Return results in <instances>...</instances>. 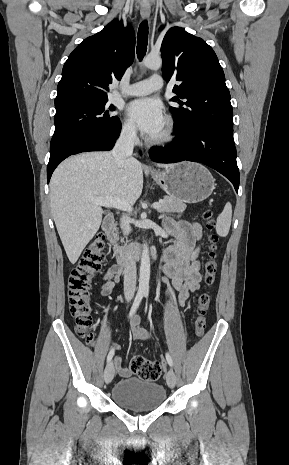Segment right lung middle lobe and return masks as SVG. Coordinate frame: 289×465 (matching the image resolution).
Masks as SVG:
<instances>
[{"label":"right lung middle lobe","instance_id":"right-lung-middle-lobe-1","mask_svg":"<svg viewBox=\"0 0 289 465\" xmlns=\"http://www.w3.org/2000/svg\"><path fill=\"white\" fill-rule=\"evenodd\" d=\"M108 99L77 100L55 105V132L50 144V153L67 145L74 139L89 133H109L119 125Z\"/></svg>","mask_w":289,"mask_h":465}]
</instances>
